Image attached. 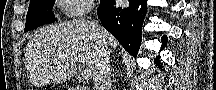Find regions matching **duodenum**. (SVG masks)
<instances>
[{
    "label": "duodenum",
    "instance_id": "obj_1",
    "mask_svg": "<svg viewBox=\"0 0 216 90\" xmlns=\"http://www.w3.org/2000/svg\"><path fill=\"white\" fill-rule=\"evenodd\" d=\"M73 90H84V87H73Z\"/></svg>",
    "mask_w": 216,
    "mask_h": 90
}]
</instances>
